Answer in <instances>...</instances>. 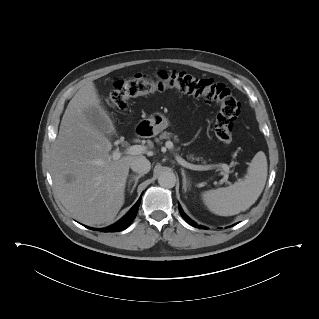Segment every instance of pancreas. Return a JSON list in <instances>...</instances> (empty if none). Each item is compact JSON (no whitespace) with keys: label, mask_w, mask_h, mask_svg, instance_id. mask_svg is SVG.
Masks as SVG:
<instances>
[{"label":"pancreas","mask_w":319,"mask_h":319,"mask_svg":"<svg viewBox=\"0 0 319 319\" xmlns=\"http://www.w3.org/2000/svg\"><path fill=\"white\" fill-rule=\"evenodd\" d=\"M171 137H173L176 141H178V138L176 135H174L171 132L165 131L159 136V139L158 138L156 139V142H159V140H162V139H170ZM187 158L192 161L196 160V161H202L203 163H206L205 160H203L201 157H195L193 154L188 155Z\"/></svg>","instance_id":"1"}]
</instances>
